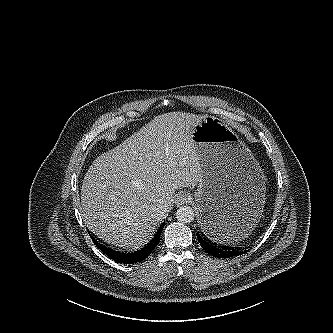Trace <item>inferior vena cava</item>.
<instances>
[{
	"label": "inferior vena cava",
	"instance_id": "602c4592",
	"mask_svg": "<svg viewBox=\"0 0 333 333\" xmlns=\"http://www.w3.org/2000/svg\"><path fill=\"white\" fill-rule=\"evenodd\" d=\"M160 210H161L162 213H164V212L167 211V208H166V206L163 205V206L160 207Z\"/></svg>",
	"mask_w": 333,
	"mask_h": 333
}]
</instances>
